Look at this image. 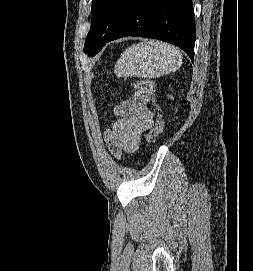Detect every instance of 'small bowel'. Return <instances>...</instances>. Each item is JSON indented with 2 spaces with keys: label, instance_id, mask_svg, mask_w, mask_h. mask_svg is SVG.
Returning <instances> with one entry per match:
<instances>
[{
  "label": "small bowel",
  "instance_id": "1",
  "mask_svg": "<svg viewBox=\"0 0 253 271\" xmlns=\"http://www.w3.org/2000/svg\"><path fill=\"white\" fill-rule=\"evenodd\" d=\"M150 94L136 92L114 108L116 119L104 132V138L116 159L121 153H134L144 132L153 127V113L147 106Z\"/></svg>",
  "mask_w": 253,
  "mask_h": 271
}]
</instances>
